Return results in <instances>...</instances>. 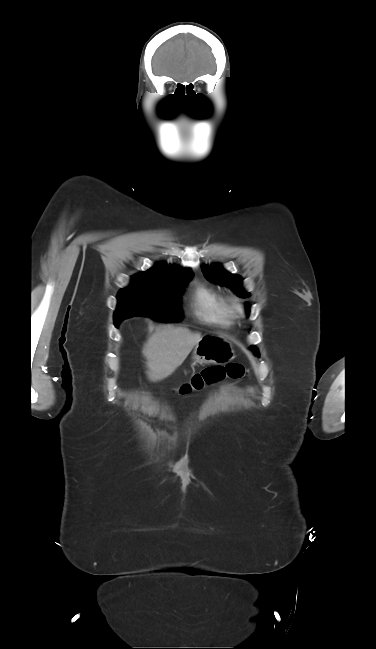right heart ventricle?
Masks as SVG:
<instances>
[{
	"label": "right heart ventricle",
	"instance_id": "obj_1",
	"mask_svg": "<svg viewBox=\"0 0 376 649\" xmlns=\"http://www.w3.org/2000/svg\"><path fill=\"white\" fill-rule=\"evenodd\" d=\"M191 307L194 315L206 323L229 326L235 318L225 297L205 284L195 287Z\"/></svg>",
	"mask_w": 376,
	"mask_h": 649
}]
</instances>
